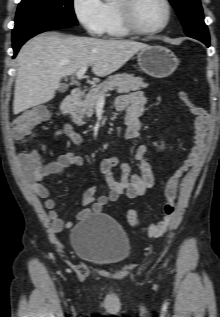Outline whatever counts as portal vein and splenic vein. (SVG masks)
Returning a JSON list of instances; mask_svg holds the SVG:
<instances>
[{
    "instance_id": "portal-vein-and-splenic-vein-1",
    "label": "portal vein and splenic vein",
    "mask_w": 220,
    "mask_h": 317,
    "mask_svg": "<svg viewBox=\"0 0 220 317\" xmlns=\"http://www.w3.org/2000/svg\"><path fill=\"white\" fill-rule=\"evenodd\" d=\"M87 69H88V66H83L77 71L76 76L79 80L84 77V74L86 73ZM104 97H105V94L101 95L99 99H104Z\"/></svg>"
}]
</instances>
